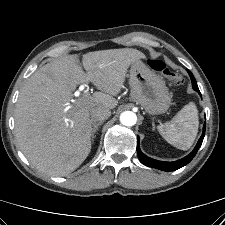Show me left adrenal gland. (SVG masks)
Listing matches in <instances>:
<instances>
[{
    "mask_svg": "<svg viewBox=\"0 0 225 225\" xmlns=\"http://www.w3.org/2000/svg\"><path fill=\"white\" fill-rule=\"evenodd\" d=\"M152 126H153V128H152V129H153V130H155V124H154V122L152 123Z\"/></svg>",
    "mask_w": 225,
    "mask_h": 225,
    "instance_id": "a2214340",
    "label": "left adrenal gland"
}]
</instances>
